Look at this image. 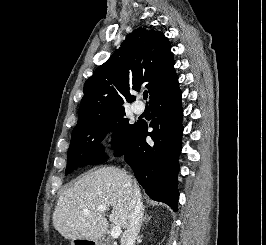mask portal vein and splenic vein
Here are the masks:
<instances>
[{
    "label": "portal vein and splenic vein",
    "instance_id": "obj_1",
    "mask_svg": "<svg viewBox=\"0 0 266 245\" xmlns=\"http://www.w3.org/2000/svg\"><path fill=\"white\" fill-rule=\"evenodd\" d=\"M107 209L108 207H106V205H99V207H97L98 213H103V211H107ZM83 213H89L88 209H83ZM121 233V227H113L111 231L112 239H117V237H120Z\"/></svg>",
    "mask_w": 266,
    "mask_h": 245
}]
</instances>
